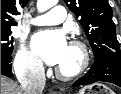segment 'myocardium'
I'll return each mask as SVG.
<instances>
[{
  "label": "myocardium",
  "mask_w": 121,
  "mask_h": 94,
  "mask_svg": "<svg viewBox=\"0 0 121 94\" xmlns=\"http://www.w3.org/2000/svg\"><path fill=\"white\" fill-rule=\"evenodd\" d=\"M70 46L78 50L80 54V62H79V65L71 71H65L63 69H60L59 67L55 68L56 76L59 79L65 80V81L74 80L81 77L86 72L90 64L89 50L81 40H78V39L72 40L70 42Z\"/></svg>",
  "instance_id": "obj_1"
}]
</instances>
